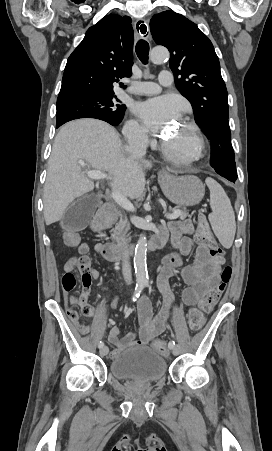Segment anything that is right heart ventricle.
Masks as SVG:
<instances>
[{"label":"right heart ventricle","mask_w":272,"mask_h":451,"mask_svg":"<svg viewBox=\"0 0 272 451\" xmlns=\"http://www.w3.org/2000/svg\"><path fill=\"white\" fill-rule=\"evenodd\" d=\"M171 100L174 102V99H173V98H171Z\"/></svg>","instance_id":"obj_1"}]
</instances>
